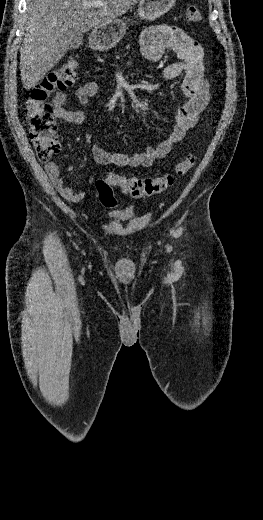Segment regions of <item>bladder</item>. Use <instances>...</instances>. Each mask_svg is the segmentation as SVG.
Returning <instances> with one entry per match:
<instances>
[{
  "instance_id": "1",
  "label": "bladder",
  "mask_w": 263,
  "mask_h": 520,
  "mask_svg": "<svg viewBox=\"0 0 263 520\" xmlns=\"http://www.w3.org/2000/svg\"><path fill=\"white\" fill-rule=\"evenodd\" d=\"M113 218L114 219H118V220H125V219H128L129 216L117 215V216H114Z\"/></svg>"
}]
</instances>
